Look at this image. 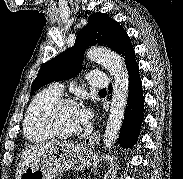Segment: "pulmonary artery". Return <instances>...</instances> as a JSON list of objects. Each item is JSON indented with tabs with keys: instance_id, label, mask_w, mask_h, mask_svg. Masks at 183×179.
I'll return each instance as SVG.
<instances>
[{
	"instance_id": "obj_1",
	"label": "pulmonary artery",
	"mask_w": 183,
	"mask_h": 179,
	"mask_svg": "<svg viewBox=\"0 0 183 179\" xmlns=\"http://www.w3.org/2000/svg\"><path fill=\"white\" fill-rule=\"evenodd\" d=\"M88 83L96 88H104L108 85L109 80L102 72L92 71L88 74ZM51 88L60 95L63 92V85L61 83H54Z\"/></svg>"
}]
</instances>
